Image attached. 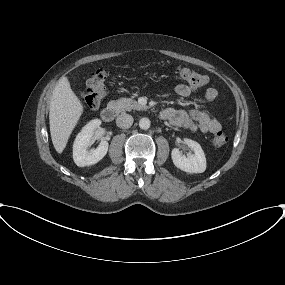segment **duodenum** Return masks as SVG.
Segmentation results:
<instances>
[{
    "label": "duodenum",
    "mask_w": 285,
    "mask_h": 285,
    "mask_svg": "<svg viewBox=\"0 0 285 285\" xmlns=\"http://www.w3.org/2000/svg\"><path fill=\"white\" fill-rule=\"evenodd\" d=\"M118 114V107L115 104H109L101 111V118L105 122L112 121Z\"/></svg>",
    "instance_id": "obj_1"
}]
</instances>
